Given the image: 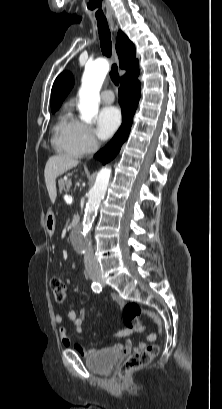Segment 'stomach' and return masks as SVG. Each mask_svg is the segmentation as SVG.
Segmentation results:
<instances>
[{
    "label": "stomach",
    "instance_id": "1",
    "mask_svg": "<svg viewBox=\"0 0 222 409\" xmlns=\"http://www.w3.org/2000/svg\"><path fill=\"white\" fill-rule=\"evenodd\" d=\"M55 216L53 213H48L45 219V227L48 233H53L55 230Z\"/></svg>",
    "mask_w": 222,
    "mask_h": 409
}]
</instances>
